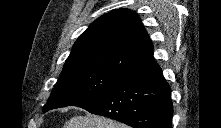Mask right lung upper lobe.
Listing matches in <instances>:
<instances>
[{
	"label": "right lung upper lobe",
	"instance_id": "right-lung-upper-lobe-1",
	"mask_svg": "<svg viewBox=\"0 0 221 128\" xmlns=\"http://www.w3.org/2000/svg\"><path fill=\"white\" fill-rule=\"evenodd\" d=\"M153 60V45L138 15L118 9L95 20L81 34L63 71L98 68L127 76Z\"/></svg>",
	"mask_w": 221,
	"mask_h": 128
}]
</instances>
